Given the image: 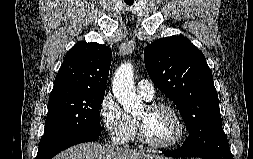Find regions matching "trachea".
Here are the masks:
<instances>
[{"instance_id": "3493384b", "label": "trachea", "mask_w": 253, "mask_h": 159, "mask_svg": "<svg viewBox=\"0 0 253 159\" xmlns=\"http://www.w3.org/2000/svg\"><path fill=\"white\" fill-rule=\"evenodd\" d=\"M125 2H126L128 5L133 4V1H131V0H126Z\"/></svg>"}]
</instances>
